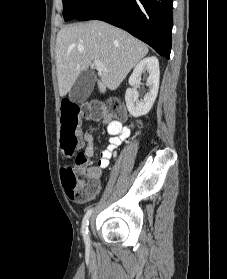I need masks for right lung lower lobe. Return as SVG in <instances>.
<instances>
[{
  "label": "right lung lower lobe",
  "mask_w": 227,
  "mask_h": 279,
  "mask_svg": "<svg viewBox=\"0 0 227 279\" xmlns=\"http://www.w3.org/2000/svg\"><path fill=\"white\" fill-rule=\"evenodd\" d=\"M173 0H93L78 20H102L128 31L169 59Z\"/></svg>",
  "instance_id": "right-lung-lower-lobe-1"
}]
</instances>
